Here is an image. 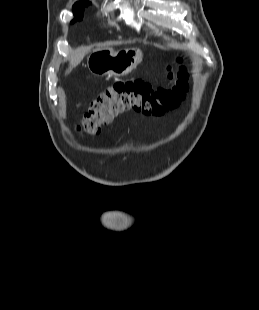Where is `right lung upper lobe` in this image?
<instances>
[{"instance_id": "right-lung-upper-lobe-1", "label": "right lung upper lobe", "mask_w": 259, "mask_h": 310, "mask_svg": "<svg viewBox=\"0 0 259 310\" xmlns=\"http://www.w3.org/2000/svg\"><path fill=\"white\" fill-rule=\"evenodd\" d=\"M87 2H89V1H85V0L82 1V0H81V1H79V2H77V3H75L74 6H73V8H75V7H77V6L81 5V4L87 3Z\"/></svg>"}]
</instances>
